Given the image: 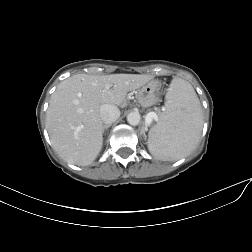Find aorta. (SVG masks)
Instances as JSON below:
<instances>
[{
    "label": "aorta",
    "instance_id": "1",
    "mask_svg": "<svg viewBox=\"0 0 252 252\" xmlns=\"http://www.w3.org/2000/svg\"><path fill=\"white\" fill-rule=\"evenodd\" d=\"M140 119L141 117L138 112H131L127 115V122L132 126L138 125L140 122Z\"/></svg>",
    "mask_w": 252,
    "mask_h": 252
}]
</instances>
